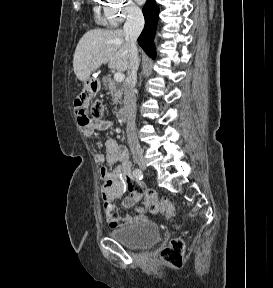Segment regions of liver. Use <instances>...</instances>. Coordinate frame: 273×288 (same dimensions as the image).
<instances>
[{
	"label": "liver",
	"mask_w": 273,
	"mask_h": 288,
	"mask_svg": "<svg viewBox=\"0 0 273 288\" xmlns=\"http://www.w3.org/2000/svg\"><path fill=\"white\" fill-rule=\"evenodd\" d=\"M129 38L121 29H93L87 31L77 44L73 69L80 81H87L91 73L103 64L119 72L128 70Z\"/></svg>",
	"instance_id": "obj_1"
}]
</instances>
